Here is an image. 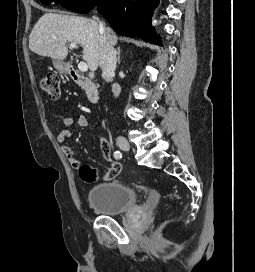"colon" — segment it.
<instances>
[{"label": "colon", "mask_w": 255, "mask_h": 272, "mask_svg": "<svg viewBox=\"0 0 255 272\" xmlns=\"http://www.w3.org/2000/svg\"><path fill=\"white\" fill-rule=\"evenodd\" d=\"M42 90L51 98L57 99L59 97V76L56 73H47L43 75L40 81ZM80 177L87 182L94 180L96 172L94 169L87 165H83L79 168ZM170 198L174 196L171 194Z\"/></svg>", "instance_id": "colon-1"}]
</instances>
